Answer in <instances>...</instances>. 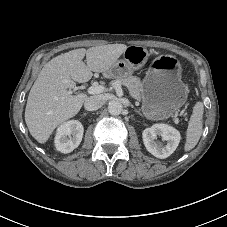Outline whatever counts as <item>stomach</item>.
<instances>
[{
    "instance_id": "1",
    "label": "stomach",
    "mask_w": 227,
    "mask_h": 227,
    "mask_svg": "<svg viewBox=\"0 0 227 227\" xmlns=\"http://www.w3.org/2000/svg\"><path fill=\"white\" fill-rule=\"evenodd\" d=\"M148 57L146 48L128 46L123 59L116 61L104 75L117 79L127 77L142 68ZM181 73V64L174 56L162 55L152 62L141 91V111L146 118L167 119L186 103L189 90L181 80Z\"/></svg>"
}]
</instances>
